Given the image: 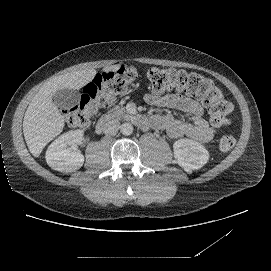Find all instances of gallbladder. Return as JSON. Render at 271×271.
Wrapping results in <instances>:
<instances>
[{
	"label": "gallbladder",
	"mask_w": 271,
	"mask_h": 271,
	"mask_svg": "<svg viewBox=\"0 0 271 271\" xmlns=\"http://www.w3.org/2000/svg\"><path fill=\"white\" fill-rule=\"evenodd\" d=\"M55 103L66 111H73L79 107L81 95L77 89L66 87L56 92Z\"/></svg>",
	"instance_id": "obj_1"
}]
</instances>
